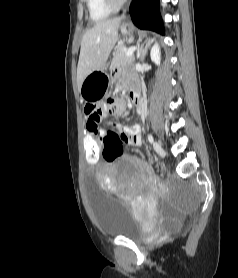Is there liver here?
Segmentation results:
<instances>
[{
	"mask_svg": "<svg viewBox=\"0 0 238 278\" xmlns=\"http://www.w3.org/2000/svg\"><path fill=\"white\" fill-rule=\"evenodd\" d=\"M121 18L97 22L82 38L77 67V85L80 91L85 77L104 67L118 39Z\"/></svg>",
	"mask_w": 238,
	"mask_h": 278,
	"instance_id": "obj_1",
	"label": "liver"
}]
</instances>
